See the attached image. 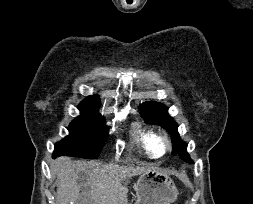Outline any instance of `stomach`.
<instances>
[{
  "mask_svg": "<svg viewBox=\"0 0 253 204\" xmlns=\"http://www.w3.org/2000/svg\"><path fill=\"white\" fill-rule=\"evenodd\" d=\"M135 204H171L178 195L174 181L164 171L147 169L139 177L136 185Z\"/></svg>",
  "mask_w": 253,
  "mask_h": 204,
  "instance_id": "stomach-1",
  "label": "stomach"
}]
</instances>
